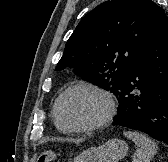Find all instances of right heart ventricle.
I'll use <instances>...</instances> for the list:
<instances>
[{
	"label": "right heart ventricle",
	"mask_w": 168,
	"mask_h": 162,
	"mask_svg": "<svg viewBox=\"0 0 168 162\" xmlns=\"http://www.w3.org/2000/svg\"><path fill=\"white\" fill-rule=\"evenodd\" d=\"M55 124H56V127L58 128L59 131H61V132H65V130L61 129V128L57 125L56 122H55Z\"/></svg>",
	"instance_id": "obj_1"
}]
</instances>
